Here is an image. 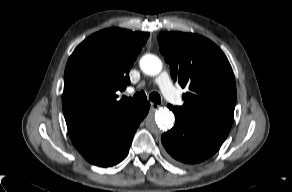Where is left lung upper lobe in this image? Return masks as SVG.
Instances as JSON below:
<instances>
[{"instance_id":"1","label":"left lung upper lobe","mask_w":292,"mask_h":192,"mask_svg":"<svg viewBox=\"0 0 292 192\" xmlns=\"http://www.w3.org/2000/svg\"><path fill=\"white\" fill-rule=\"evenodd\" d=\"M160 51L170 64L172 77L189 88L184 104L171 106L184 121L230 129L236 104V85L230 63L209 39L196 34L163 32Z\"/></svg>"}]
</instances>
